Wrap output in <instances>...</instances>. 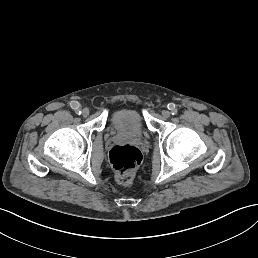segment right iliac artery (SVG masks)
Masks as SVG:
<instances>
[{"label": "right iliac artery", "instance_id": "82829eb1", "mask_svg": "<svg viewBox=\"0 0 258 258\" xmlns=\"http://www.w3.org/2000/svg\"><path fill=\"white\" fill-rule=\"evenodd\" d=\"M76 114H77V115H81V114H82V111H81V110H76Z\"/></svg>", "mask_w": 258, "mask_h": 258}]
</instances>
